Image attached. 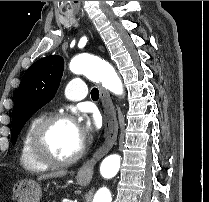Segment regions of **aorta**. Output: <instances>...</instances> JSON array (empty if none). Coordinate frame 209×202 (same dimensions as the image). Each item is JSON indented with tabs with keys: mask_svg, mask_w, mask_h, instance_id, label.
<instances>
[{
	"mask_svg": "<svg viewBox=\"0 0 209 202\" xmlns=\"http://www.w3.org/2000/svg\"><path fill=\"white\" fill-rule=\"evenodd\" d=\"M69 69L74 74H83L95 82H100L103 87L116 95L123 94L122 81L113 66L109 63L87 54L73 57ZM120 169V156L111 154L104 158L100 165V173L104 178L114 177ZM93 202H112L111 192L100 188L94 195Z\"/></svg>",
	"mask_w": 209,
	"mask_h": 202,
	"instance_id": "obj_1",
	"label": "aorta"
}]
</instances>
